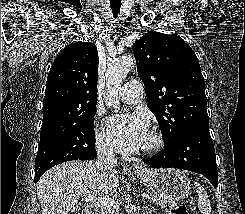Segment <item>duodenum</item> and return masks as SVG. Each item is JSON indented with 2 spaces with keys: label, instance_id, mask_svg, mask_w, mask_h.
Instances as JSON below:
<instances>
[{
  "label": "duodenum",
  "instance_id": "1",
  "mask_svg": "<svg viewBox=\"0 0 245 214\" xmlns=\"http://www.w3.org/2000/svg\"><path fill=\"white\" fill-rule=\"evenodd\" d=\"M84 214H97V208L95 206H90L86 208Z\"/></svg>",
  "mask_w": 245,
  "mask_h": 214
}]
</instances>
